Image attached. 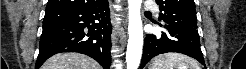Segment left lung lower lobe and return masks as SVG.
<instances>
[{
  "mask_svg": "<svg viewBox=\"0 0 246 69\" xmlns=\"http://www.w3.org/2000/svg\"><path fill=\"white\" fill-rule=\"evenodd\" d=\"M165 28L161 35L147 34L144 42L141 69L155 56L178 52L195 58L205 65L196 28L175 24H159Z\"/></svg>",
  "mask_w": 246,
  "mask_h": 69,
  "instance_id": "1",
  "label": "left lung lower lobe"
}]
</instances>
